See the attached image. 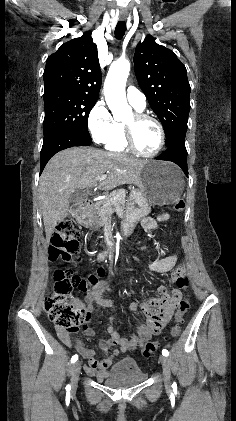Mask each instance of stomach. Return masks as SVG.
<instances>
[{"mask_svg": "<svg viewBox=\"0 0 236 421\" xmlns=\"http://www.w3.org/2000/svg\"><path fill=\"white\" fill-rule=\"evenodd\" d=\"M137 186L129 194L121 223L124 237H129L137 223L149 215L153 204H173L180 198L184 188L182 170L171 162L148 158L139 170Z\"/></svg>", "mask_w": 236, "mask_h": 421, "instance_id": "obj_1", "label": "stomach"}]
</instances>
